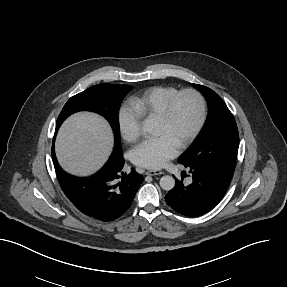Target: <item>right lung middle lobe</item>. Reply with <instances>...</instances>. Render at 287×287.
<instances>
[{
	"instance_id": "1",
	"label": "right lung middle lobe",
	"mask_w": 287,
	"mask_h": 287,
	"mask_svg": "<svg viewBox=\"0 0 287 287\" xmlns=\"http://www.w3.org/2000/svg\"><path fill=\"white\" fill-rule=\"evenodd\" d=\"M131 85L98 84L71 97L63 107L57 123L78 111H92L105 117L110 123L115 137L114 153L122 152L118 112L125 95L132 90Z\"/></svg>"
}]
</instances>
